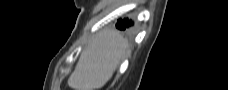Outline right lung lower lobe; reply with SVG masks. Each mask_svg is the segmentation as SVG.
<instances>
[{
  "mask_svg": "<svg viewBox=\"0 0 228 90\" xmlns=\"http://www.w3.org/2000/svg\"><path fill=\"white\" fill-rule=\"evenodd\" d=\"M133 25V22L131 20L128 19H120L117 21L116 23V28L120 29V30H128L129 27H131Z\"/></svg>",
  "mask_w": 228,
  "mask_h": 90,
  "instance_id": "98d812e1",
  "label": "right lung lower lobe"
}]
</instances>
